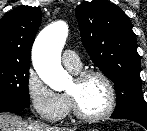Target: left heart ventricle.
I'll return each instance as SVG.
<instances>
[{"label":"left heart ventricle","mask_w":147,"mask_h":131,"mask_svg":"<svg viewBox=\"0 0 147 131\" xmlns=\"http://www.w3.org/2000/svg\"><path fill=\"white\" fill-rule=\"evenodd\" d=\"M67 92L73 94L82 112L94 115L102 112L108 104V90L105 83L96 76L83 81L73 79Z\"/></svg>","instance_id":"1"}]
</instances>
